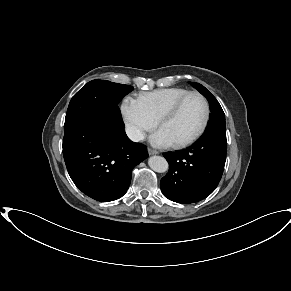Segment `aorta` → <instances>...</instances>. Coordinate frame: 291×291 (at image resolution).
<instances>
[{
  "instance_id": "1",
  "label": "aorta",
  "mask_w": 291,
  "mask_h": 291,
  "mask_svg": "<svg viewBox=\"0 0 291 291\" xmlns=\"http://www.w3.org/2000/svg\"><path fill=\"white\" fill-rule=\"evenodd\" d=\"M149 167L158 173H164L168 170V162L164 157L152 156L148 160Z\"/></svg>"
}]
</instances>
